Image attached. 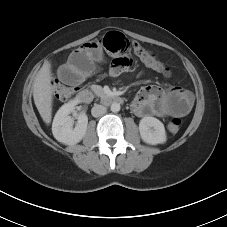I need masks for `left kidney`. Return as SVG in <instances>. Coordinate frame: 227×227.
Returning <instances> with one entry per match:
<instances>
[{
	"label": "left kidney",
	"mask_w": 227,
	"mask_h": 227,
	"mask_svg": "<svg viewBox=\"0 0 227 227\" xmlns=\"http://www.w3.org/2000/svg\"><path fill=\"white\" fill-rule=\"evenodd\" d=\"M142 140L150 145L163 144L167 140L163 123L154 117H144L139 122Z\"/></svg>",
	"instance_id": "1"
}]
</instances>
